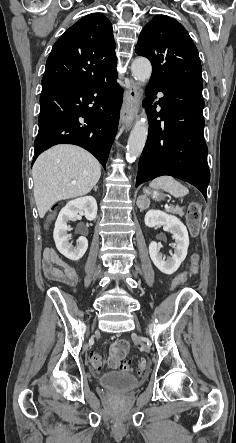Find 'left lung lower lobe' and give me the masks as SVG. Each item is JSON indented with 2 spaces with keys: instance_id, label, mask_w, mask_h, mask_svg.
Instances as JSON below:
<instances>
[{
  "instance_id": "0a47b994",
  "label": "left lung lower lobe",
  "mask_w": 236,
  "mask_h": 443,
  "mask_svg": "<svg viewBox=\"0 0 236 443\" xmlns=\"http://www.w3.org/2000/svg\"><path fill=\"white\" fill-rule=\"evenodd\" d=\"M157 91L163 92L164 97L154 106ZM146 95L149 134L139 160L136 187L158 176L170 175L197 187L207 200L210 171L203 134L202 84H162L150 80ZM157 105L161 107L159 112Z\"/></svg>"
}]
</instances>
